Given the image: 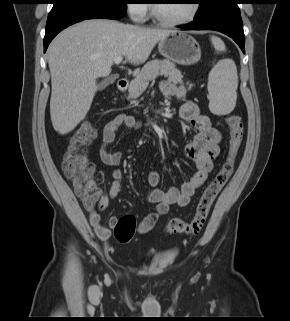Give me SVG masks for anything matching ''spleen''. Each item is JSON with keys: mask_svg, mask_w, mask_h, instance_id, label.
<instances>
[{"mask_svg": "<svg viewBox=\"0 0 290 321\" xmlns=\"http://www.w3.org/2000/svg\"><path fill=\"white\" fill-rule=\"evenodd\" d=\"M211 42L217 52L226 50L220 38L212 36ZM237 87L238 75L235 63L231 59L218 61L208 77L210 111L216 115L231 113L236 105Z\"/></svg>", "mask_w": 290, "mask_h": 321, "instance_id": "1", "label": "spleen"}]
</instances>
